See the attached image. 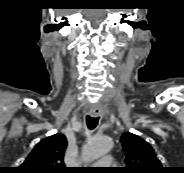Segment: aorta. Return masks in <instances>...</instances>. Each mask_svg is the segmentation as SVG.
<instances>
[{
	"instance_id": "1",
	"label": "aorta",
	"mask_w": 184,
	"mask_h": 173,
	"mask_svg": "<svg viewBox=\"0 0 184 173\" xmlns=\"http://www.w3.org/2000/svg\"><path fill=\"white\" fill-rule=\"evenodd\" d=\"M112 148L110 138L93 136L88 139L83 148L82 157L85 162H92L108 153Z\"/></svg>"
}]
</instances>
